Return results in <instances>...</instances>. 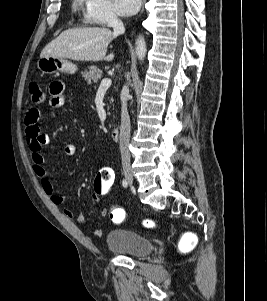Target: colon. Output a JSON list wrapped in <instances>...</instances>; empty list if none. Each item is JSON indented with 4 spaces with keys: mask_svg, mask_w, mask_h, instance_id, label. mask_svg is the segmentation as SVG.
I'll list each match as a JSON object with an SVG mask.
<instances>
[{
    "mask_svg": "<svg viewBox=\"0 0 267 301\" xmlns=\"http://www.w3.org/2000/svg\"><path fill=\"white\" fill-rule=\"evenodd\" d=\"M29 91L31 95V101L33 104L37 105L43 102L44 92L38 84H30ZM113 186L114 172L112 168L109 166L101 167L95 176L92 193L95 196H97L100 200H105L109 202L108 207L106 209L107 216L113 223L121 224L126 220L127 213L122 206L112 201ZM145 225L147 227L154 226L152 221H146ZM195 243V237L193 235H187L181 241L180 248L183 251H188L195 246Z\"/></svg>",
    "mask_w": 267,
    "mask_h": 301,
    "instance_id": "colon-1",
    "label": "colon"
}]
</instances>
